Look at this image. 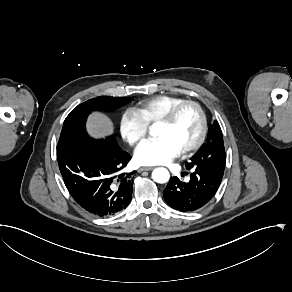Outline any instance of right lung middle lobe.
Instances as JSON below:
<instances>
[{
  "label": "right lung middle lobe",
  "mask_w": 292,
  "mask_h": 292,
  "mask_svg": "<svg viewBox=\"0 0 292 292\" xmlns=\"http://www.w3.org/2000/svg\"><path fill=\"white\" fill-rule=\"evenodd\" d=\"M132 100V97L120 98L101 96L78 105L69 113L64 121L58 146L77 143H103L109 146L117 145L114 136L100 140L89 138L85 128V122L92 111H115Z\"/></svg>",
  "instance_id": "right-lung-middle-lobe-1"
}]
</instances>
